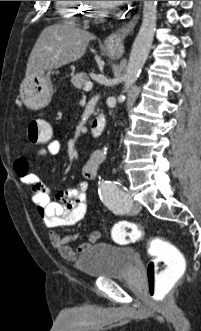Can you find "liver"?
<instances>
[{
  "mask_svg": "<svg viewBox=\"0 0 201 331\" xmlns=\"http://www.w3.org/2000/svg\"><path fill=\"white\" fill-rule=\"evenodd\" d=\"M95 38L93 34L77 28L72 22L46 27L28 58L26 78L79 60L85 54L89 41Z\"/></svg>",
  "mask_w": 201,
  "mask_h": 331,
  "instance_id": "liver-1",
  "label": "liver"
}]
</instances>
